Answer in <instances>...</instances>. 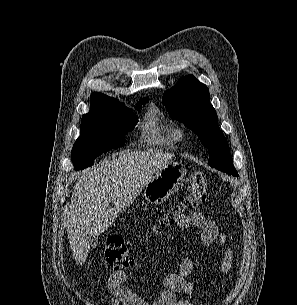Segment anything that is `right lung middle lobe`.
I'll use <instances>...</instances> for the list:
<instances>
[{"mask_svg":"<svg viewBox=\"0 0 297 305\" xmlns=\"http://www.w3.org/2000/svg\"><path fill=\"white\" fill-rule=\"evenodd\" d=\"M147 100L140 101L145 104ZM140 106H137L139 109ZM138 118L119 104L106 110H90L82 116L80 137L72 149L75 170L89 167L96 157L125 143L124 134L133 130Z\"/></svg>","mask_w":297,"mask_h":305,"instance_id":"obj_1","label":"right lung middle lobe"}]
</instances>
